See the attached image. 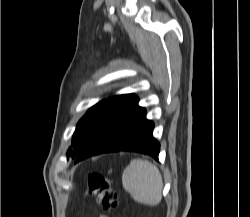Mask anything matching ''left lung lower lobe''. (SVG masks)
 <instances>
[{
  "instance_id": "left-lung-lower-lobe-1",
  "label": "left lung lower lobe",
  "mask_w": 250,
  "mask_h": 217,
  "mask_svg": "<svg viewBox=\"0 0 250 217\" xmlns=\"http://www.w3.org/2000/svg\"><path fill=\"white\" fill-rule=\"evenodd\" d=\"M154 123L131 95L76 157V163L90 156L118 151H134L158 160L160 144L152 136Z\"/></svg>"
}]
</instances>
